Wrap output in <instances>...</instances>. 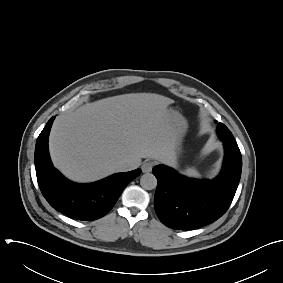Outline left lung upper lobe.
Masks as SVG:
<instances>
[{
	"label": "left lung upper lobe",
	"instance_id": "obj_1",
	"mask_svg": "<svg viewBox=\"0 0 283 283\" xmlns=\"http://www.w3.org/2000/svg\"><path fill=\"white\" fill-rule=\"evenodd\" d=\"M217 134L221 140H225L233 144H237L230 130L222 123L218 124Z\"/></svg>",
	"mask_w": 283,
	"mask_h": 283
}]
</instances>
